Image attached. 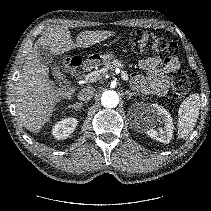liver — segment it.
Wrapping results in <instances>:
<instances>
[{"instance_id": "liver-1", "label": "liver", "mask_w": 211, "mask_h": 211, "mask_svg": "<svg viewBox=\"0 0 211 211\" xmlns=\"http://www.w3.org/2000/svg\"><path fill=\"white\" fill-rule=\"evenodd\" d=\"M113 35L111 31H83L71 40L68 29L56 28L44 33L26 57L22 72L12 90V100L23 126L31 132L45 125L61 99L70 100L75 88H57L49 81L48 68L37 55V48L48 47L53 54L62 55L73 48H88Z\"/></svg>"}]
</instances>
